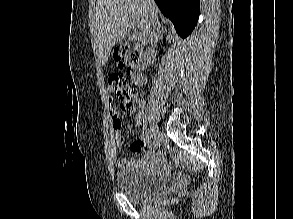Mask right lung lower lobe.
<instances>
[{
  "instance_id": "1",
  "label": "right lung lower lobe",
  "mask_w": 293,
  "mask_h": 219,
  "mask_svg": "<svg viewBox=\"0 0 293 219\" xmlns=\"http://www.w3.org/2000/svg\"><path fill=\"white\" fill-rule=\"evenodd\" d=\"M161 12L169 18L177 33L185 38L195 28L199 12L200 0H155Z\"/></svg>"
}]
</instances>
